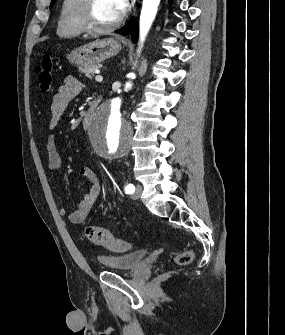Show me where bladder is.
<instances>
[{
    "instance_id": "bladder-1",
    "label": "bladder",
    "mask_w": 285,
    "mask_h": 335,
    "mask_svg": "<svg viewBox=\"0 0 285 335\" xmlns=\"http://www.w3.org/2000/svg\"><path fill=\"white\" fill-rule=\"evenodd\" d=\"M148 252L145 249L130 251L98 258V265H115V272H132L142 265Z\"/></svg>"
}]
</instances>
